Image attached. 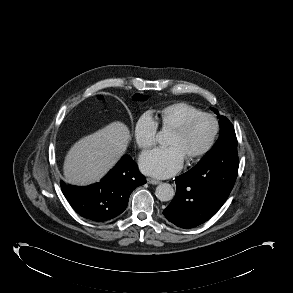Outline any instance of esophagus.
<instances>
[{
	"instance_id": "1",
	"label": "esophagus",
	"mask_w": 293,
	"mask_h": 293,
	"mask_svg": "<svg viewBox=\"0 0 293 293\" xmlns=\"http://www.w3.org/2000/svg\"><path fill=\"white\" fill-rule=\"evenodd\" d=\"M147 182H148L149 184H153V185H158V184H160V181L157 180V179H154V178H147Z\"/></svg>"
}]
</instances>
